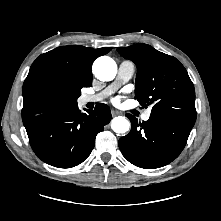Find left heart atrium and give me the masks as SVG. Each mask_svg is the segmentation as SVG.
Wrapping results in <instances>:
<instances>
[{"mask_svg":"<svg viewBox=\"0 0 221 221\" xmlns=\"http://www.w3.org/2000/svg\"><path fill=\"white\" fill-rule=\"evenodd\" d=\"M115 103H118V99L114 100Z\"/></svg>","mask_w":221,"mask_h":221,"instance_id":"1","label":"left heart atrium"}]
</instances>
